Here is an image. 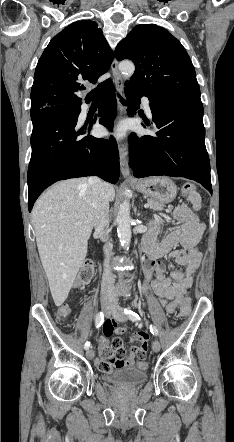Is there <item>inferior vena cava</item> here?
Returning a JSON list of instances; mask_svg holds the SVG:
<instances>
[{
	"label": "inferior vena cava",
	"instance_id": "obj_1",
	"mask_svg": "<svg viewBox=\"0 0 234 442\" xmlns=\"http://www.w3.org/2000/svg\"><path fill=\"white\" fill-rule=\"evenodd\" d=\"M92 190V206L94 208V227L95 233L105 242L103 247L105 253L104 271L101 283V296L103 299L113 301L114 293V275L110 269L109 261L112 254V244L108 242L109 228V199L105 190V183L96 176L88 180Z\"/></svg>",
	"mask_w": 234,
	"mask_h": 442
}]
</instances>
